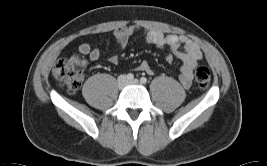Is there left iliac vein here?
Wrapping results in <instances>:
<instances>
[{
  "label": "left iliac vein",
  "mask_w": 267,
  "mask_h": 166,
  "mask_svg": "<svg viewBox=\"0 0 267 166\" xmlns=\"http://www.w3.org/2000/svg\"><path fill=\"white\" fill-rule=\"evenodd\" d=\"M129 84H139V81L137 79H133L128 81Z\"/></svg>",
  "instance_id": "1"
}]
</instances>
